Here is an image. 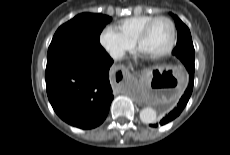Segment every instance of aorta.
Listing matches in <instances>:
<instances>
[{
  "mask_svg": "<svg viewBox=\"0 0 230 155\" xmlns=\"http://www.w3.org/2000/svg\"><path fill=\"white\" fill-rule=\"evenodd\" d=\"M140 120L145 124L155 123L157 113L154 108L146 107L140 111Z\"/></svg>",
  "mask_w": 230,
  "mask_h": 155,
  "instance_id": "762f6f07",
  "label": "aorta"
}]
</instances>
